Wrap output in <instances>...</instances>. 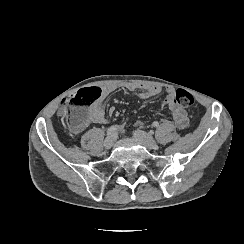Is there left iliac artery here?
I'll list each match as a JSON object with an SVG mask.
<instances>
[{"instance_id": "obj_1", "label": "left iliac artery", "mask_w": 244, "mask_h": 244, "mask_svg": "<svg viewBox=\"0 0 244 244\" xmlns=\"http://www.w3.org/2000/svg\"><path fill=\"white\" fill-rule=\"evenodd\" d=\"M154 127H158L159 126V123L157 121H154L153 124H152Z\"/></svg>"}]
</instances>
